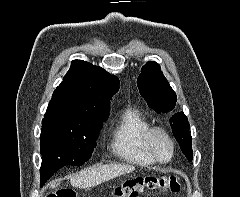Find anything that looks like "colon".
<instances>
[{"instance_id":"obj_1","label":"colon","mask_w":240,"mask_h":197,"mask_svg":"<svg viewBox=\"0 0 240 197\" xmlns=\"http://www.w3.org/2000/svg\"><path fill=\"white\" fill-rule=\"evenodd\" d=\"M181 185L175 176H138L125 180L117 186L111 197H136L145 191H160L176 193ZM47 197H76L72 189H61Z\"/></svg>"}]
</instances>
